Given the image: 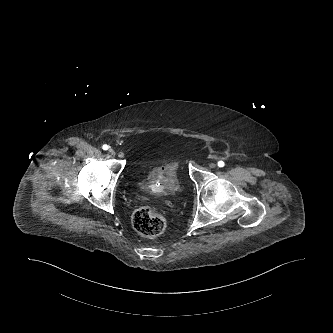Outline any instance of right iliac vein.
<instances>
[{
    "instance_id": "63e3f726",
    "label": "right iliac vein",
    "mask_w": 333,
    "mask_h": 333,
    "mask_svg": "<svg viewBox=\"0 0 333 333\" xmlns=\"http://www.w3.org/2000/svg\"><path fill=\"white\" fill-rule=\"evenodd\" d=\"M109 153H110L111 155H115V151H114V149L110 148V149H109Z\"/></svg>"
}]
</instances>
